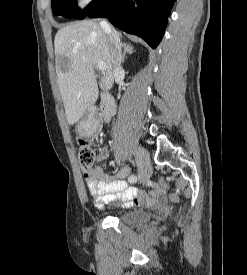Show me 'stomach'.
<instances>
[{
  "instance_id": "stomach-1",
  "label": "stomach",
  "mask_w": 247,
  "mask_h": 275,
  "mask_svg": "<svg viewBox=\"0 0 247 275\" xmlns=\"http://www.w3.org/2000/svg\"><path fill=\"white\" fill-rule=\"evenodd\" d=\"M77 131L80 133H86L88 131V127L85 122H80L77 125Z\"/></svg>"
}]
</instances>
